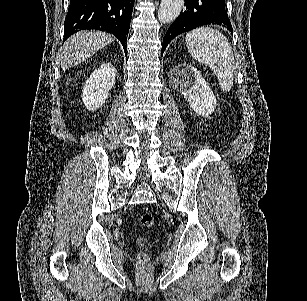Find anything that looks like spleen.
I'll return each instance as SVG.
<instances>
[{"label": "spleen", "instance_id": "spleen-1", "mask_svg": "<svg viewBox=\"0 0 307 301\" xmlns=\"http://www.w3.org/2000/svg\"><path fill=\"white\" fill-rule=\"evenodd\" d=\"M185 42L191 56L210 66L219 80L221 90L229 92L234 82L235 62L228 38L216 28L199 26L187 32Z\"/></svg>", "mask_w": 307, "mask_h": 301}]
</instances>
